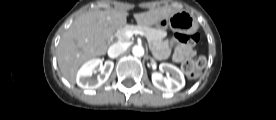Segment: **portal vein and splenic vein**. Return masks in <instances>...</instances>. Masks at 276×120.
Returning <instances> with one entry per match:
<instances>
[{"label":"portal vein and splenic vein","instance_id":"1","mask_svg":"<svg viewBox=\"0 0 276 120\" xmlns=\"http://www.w3.org/2000/svg\"><path fill=\"white\" fill-rule=\"evenodd\" d=\"M133 34L144 36V33L140 30H128L125 32V37L129 39L133 36Z\"/></svg>","mask_w":276,"mask_h":120}]
</instances>
